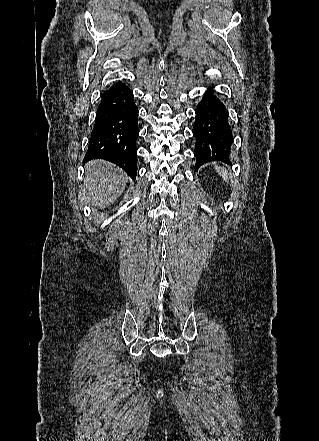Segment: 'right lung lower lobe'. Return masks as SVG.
Segmentation results:
<instances>
[{
    "mask_svg": "<svg viewBox=\"0 0 319 441\" xmlns=\"http://www.w3.org/2000/svg\"><path fill=\"white\" fill-rule=\"evenodd\" d=\"M138 133L133 92L122 82L114 83L101 95L84 161L108 160L135 180Z\"/></svg>",
    "mask_w": 319,
    "mask_h": 441,
    "instance_id": "right-lung-lower-lobe-1",
    "label": "right lung lower lobe"
}]
</instances>
